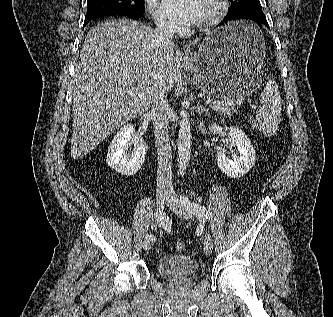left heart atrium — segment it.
<instances>
[{"instance_id":"obj_1","label":"left heart atrium","mask_w":333,"mask_h":317,"mask_svg":"<svg viewBox=\"0 0 333 317\" xmlns=\"http://www.w3.org/2000/svg\"><path fill=\"white\" fill-rule=\"evenodd\" d=\"M161 11L172 24L190 26L199 20L201 0H162Z\"/></svg>"}]
</instances>
